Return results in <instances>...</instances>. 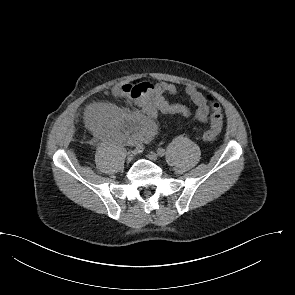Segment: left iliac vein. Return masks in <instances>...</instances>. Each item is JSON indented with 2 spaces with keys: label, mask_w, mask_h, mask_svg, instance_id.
Wrapping results in <instances>:
<instances>
[{
  "label": "left iliac vein",
  "mask_w": 295,
  "mask_h": 295,
  "mask_svg": "<svg viewBox=\"0 0 295 295\" xmlns=\"http://www.w3.org/2000/svg\"><path fill=\"white\" fill-rule=\"evenodd\" d=\"M147 158L153 162L158 160V154L154 153V152H149L147 154Z\"/></svg>",
  "instance_id": "obj_1"
}]
</instances>
